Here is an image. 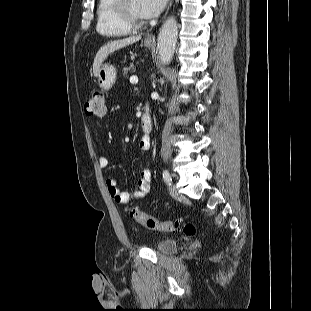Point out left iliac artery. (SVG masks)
Listing matches in <instances>:
<instances>
[{
	"mask_svg": "<svg viewBox=\"0 0 311 311\" xmlns=\"http://www.w3.org/2000/svg\"><path fill=\"white\" fill-rule=\"evenodd\" d=\"M163 179L167 184L171 185L172 178H171L170 173L167 170L163 171Z\"/></svg>",
	"mask_w": 311,
	"mask_h": 311,
	"instance_id": "left-iliac-artery-1",
	"label": "left iliac artery"
}]
</instances>
